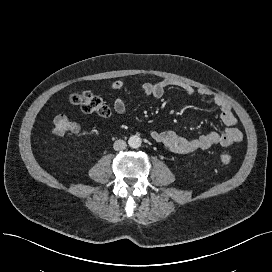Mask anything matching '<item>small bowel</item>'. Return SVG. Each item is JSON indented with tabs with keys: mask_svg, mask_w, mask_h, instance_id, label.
<instances>
[{
	"mask_svg": "<svg viewBox=\"0 0 272 272\" xmlns=\"http://www.w3.org/2000/svg\"><path fill=\"white\" fill-rule=\"evenodd\" d=\"M124 86L125 83L122 80H116L111 84V89L120 90ZM171 87L178 88L189 96L199 95L202 97H212L214 105L220 110V119L225 126V130L222 133L211 131L192 139L180 136L173 131L159 132L152 130L150 132L152 138L166 150L176 154H186L198 150H206L215 145L229 147L242 141L243 133L236 126L237 118L230 104L223 97L213 95L212 92L207 89L196 90L189 84L169 78L157 82H145L142 85V90L147 96L159 99L164 95L165 90ZM114 109L116 113L120 115L127 112L126 104L122 98L116 99Z\"/></svg>",
	"mask_w": 272,
	"mask_h": 272,
	"instance_id": "obj_1",
	"label": "small bowel"
}]
</instances>
